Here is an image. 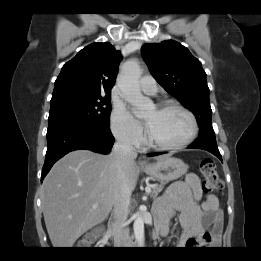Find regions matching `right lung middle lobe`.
Instances as JSON below:
<instances>
[{
  "label": "right lung middle lobe",
  "instance_id": "dd1d6c3e",
  "mask_svg": "<svg viewBox=\"0 0 261 261\" xmlns=\"http://www.w3.org/2000/svg\"><path fill=\"white\" fill-rule=\"evenodd\" d=\"M110 96L63 92L53 94L48 125L86 122L109 127Z\"/></svg>",
  "mask_w": 261,
  "mask_h": 261
}]
</instances>
